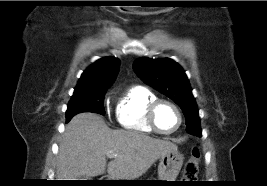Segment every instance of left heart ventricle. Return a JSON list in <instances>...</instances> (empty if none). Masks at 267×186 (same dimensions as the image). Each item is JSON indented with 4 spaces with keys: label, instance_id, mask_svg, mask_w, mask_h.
<instances>
[{
    "label": "left heart ventricle",
    "instance_id": "obj_1",
    "mask_svg": "<svg viewBox=\"0 0 267 186\" xmlns=\"http://www.w3.org/2000/svg\"><path fill=\"white\" fill-rule=\"evenodd\" d=\"M155 119L158 127L163 131H171L178 124V115L173 107L160 104L156 110Z\"/></svg>",
    "mask_w": 267,
    "mask_h": 186
}]
</instances>
